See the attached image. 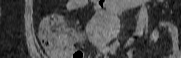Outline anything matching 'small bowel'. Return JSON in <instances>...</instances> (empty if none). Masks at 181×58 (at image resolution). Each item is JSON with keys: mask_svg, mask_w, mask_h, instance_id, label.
I'll list each match as a JSON object with an SVG mask.
<instances>
[{"mask_svg": "<svg viewBox=\"0 0 181 58\" xmlns=\"http://www.w3.org/2000/svg\"><path fill=\"white\" fill-rule=\"evenodd\" d=\"M89 4H92L96 10H99L102 6L105 5L104 1L102 0H69L66 4V7L69 11H74L86 7ZM109 9L112 11L114 10V8H109ZM161 26L169 32L172 40V46L169 58H181V48L178 45V33L176 28L169 21L163 22ZM75 35L79 40L82 39L81 33L75 32ZM158 39H159L158 31L151 32L146 38V40L149 41H158ZM118 46L119 44L117 42H113L107 46H100L97 57L108 58L107 55L113 54L117 50Z\"/></svg>", "mask_w": 181, "mask_h": 58, "instance_id": "small-bowel-1", "label": "small bowel"}]
</instances>
